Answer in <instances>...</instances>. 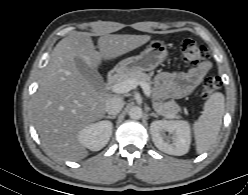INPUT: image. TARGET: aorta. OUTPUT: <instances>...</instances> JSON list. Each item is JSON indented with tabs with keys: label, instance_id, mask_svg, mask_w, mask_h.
Here are the masks:
<instances>
[{
	"label": "aorta",
	"instance_id": "1",
	"mask_svg": "<svg viewBox=\"0 0 248 195\" xmlns=\"http://www.w3.org/2000/svg\"><path fill=\"white\" fill-rule=\"evenodd\" d=\"M142 109L139 106H133L130 108L128 114L131 119H140L142 117Z\"/></svg>",
	"mask_w": 248,
	"mask_h": 195
}]
</instances>
